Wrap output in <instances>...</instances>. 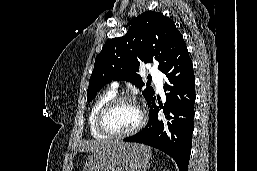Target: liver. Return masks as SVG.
<instances>
[{
    "label": "liver",
    "instance_id": "6515ba94",
    "mask_svg": "<svg viewBox=\"0 0 257 171\" xmlns=\"http://www.w3.org/2000/svg\"><path fill=\"white\" fill-rule=\"evenodd\" d=\"M113 142L108 141H89L82 145V149L86 151H96L102 147H105Z\"/></svg>",
    "mask_w": 257,
    "mask_h": 171
}]
</instances>
